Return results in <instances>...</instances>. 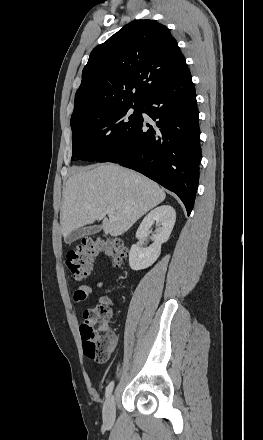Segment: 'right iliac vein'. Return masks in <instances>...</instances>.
Here are the masks:
<instances>
[{
    "label": "right iliac vein",
    "instance_id": "right-iliac-vein-1",
    "mask_svg": "<svg viewBox=\"0 0 263 440\" xmlns=\"http://www.w3.org/2000/svg\"><path fill=\"white\" fill-rule=\"evenodd\" d=\"M103 422L106 426L112 427L115 422V396L110 395L103 407Z\"/></svg>",
    "mask_w": 263,
    "mask_h": 440
}]
</instances>
